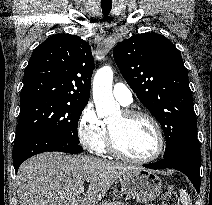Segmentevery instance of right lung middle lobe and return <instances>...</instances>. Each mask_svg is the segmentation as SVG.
Listing matches in <instances>:
<instances>
[{
  "instance_id": "right-lung-middle-lobe-1",
  "label": "right lung middle lobe",
  "mask_w": 212,
  "mask_h": 205,
  "mask_svg": "<svg viewBox=\"0 0 212 205\" xmlns=\"http://www.w3.org/2000/svg\"><path fill=\"white\" fill-rule=\"evenodd\" d=\"M86 105L51 98L21 101L15 142L32 135L51 134L79 143L77 125Z\"/></svg>"
}]
</instances>
